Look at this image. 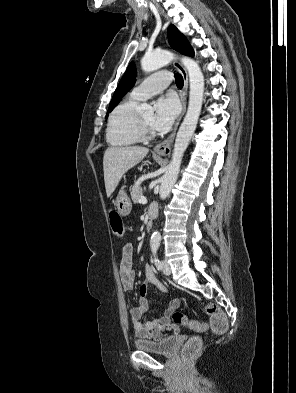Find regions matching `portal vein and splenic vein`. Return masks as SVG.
Here are the masks:
<instances>
[{"instance_id":"18ae733b","label":"portal vein and splenic vein","mask_w":296,"mask_h":393,"mask_svg":"<svg viewBox=\"0 0 296 393\" xmlns=\"http://www.w3.org/2000/svg\"><path fill=\"white\" fill-rule=\"evenodd\" d=\"M140 201H141V202H146V198H145L144 196H142V197L140 198Z\"/></svg>"}]
</instances>
